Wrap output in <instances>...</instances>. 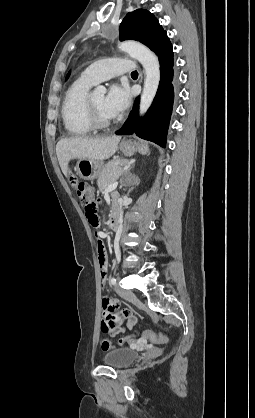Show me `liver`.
<instances>
[{"mask_svg": "<svg viewBox=\"0 0 255 418\" xmlns=\"http://www.w3.org/2000/svg\"><path fill=\"white\" fill-rule=\"evenodd\" d=\"M120 136L106 138L69 137L56 145V154L62 172L68 176V164L72 159L105 160L115 154Z\"/></svg>", "mask_w": 255, "mask_h": 418, "instance_id": "obj_1", "label": "liver"}]
</instances>
